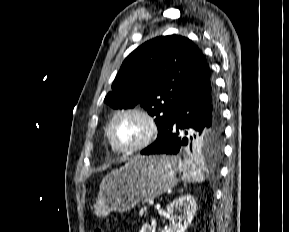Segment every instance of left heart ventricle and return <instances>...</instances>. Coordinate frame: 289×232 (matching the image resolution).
I'll list each match as a JSON object with an SVG mask.
<instances>
[{
	"mask_svg": "<svg viewBox=\"0 0 289 232\" xmlns=\"http://www.w3.org/2000/svg\"><path fill=\"white\" fill-rule=\"evenodd\" d=\"M146 132L145 122L136 115L120 116L113 126V137L122 146H131L140 142Z\"/></svg>",
	"mask_w": 289,
	"mask_h": 232,
	"instance_id": "obj_1",
	"label": "left heart ventricle"
}]
</instances>
